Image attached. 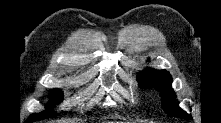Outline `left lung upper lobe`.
Here are the masks:
<instances>
[{"label":"left lung upper lobe","mask_w":221,"mask_h":123,"mask_svg":"<svg viewBox=\"0 0 221 123\" xmlns=\"http://www.w3.org/2000/svg\"><path fill=\"white\" fill-rule=\"evenodd\" d=\"M141 88H155L161 92L162 107L173 117L189 118L190 116L179 107L176 93L171 87L172 78L166 70L148 69L137 75Z\"/></svg>","instance_id":"1"}]
</instances>
